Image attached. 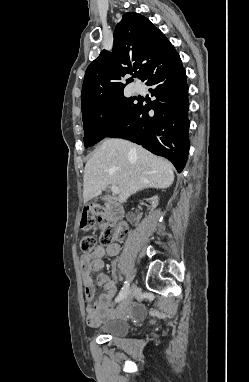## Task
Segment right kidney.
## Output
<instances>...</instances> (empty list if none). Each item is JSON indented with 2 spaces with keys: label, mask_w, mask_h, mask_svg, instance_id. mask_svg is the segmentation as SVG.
Instances as JSON below:
<instances>
[{
  "label": "right kidney",
  "mask_w": 249,
  "mask_h": 382,
  "mask_svg": "<svg viewBox=\"0 0 249 382\" xmlns=\"http://www.w3.org/2000/svg\"><path fill=\"white\" fill-rule=\"evenodd\" d=\"M146 204H152L154 207H156L158 205V197H151V198H148L146 199ZM140 205H135V207H132L131 210L128 211L127 213V221L129 224H135L136 223V218H135V214L138 213V211L140 210Z\"/></svg>",
  "instance_id": "right-kidney-1"
}]
</instances>
